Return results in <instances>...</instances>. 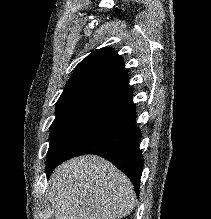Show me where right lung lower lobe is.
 <instances>
[{
	"mask_svg": "<svg viewBox=\"0 0 211 219\" xmlns=\"http://www.w3.org/2000/svg\"><path fill=\"white\" fill-rule=\"evenodd\" d=\"M135 122L136 112L131 100L115 110L76 142L56 163L55 167L79 155H99L111 161L129 177L138 195L143 157L139 149L141 132Z\"/></svg>",
	"mask_w": 211,
	"mask_h": 219,
	"instance_id": "98d812e1",
	"label": "right lung lower lobe"
}]
</instances>
